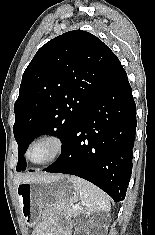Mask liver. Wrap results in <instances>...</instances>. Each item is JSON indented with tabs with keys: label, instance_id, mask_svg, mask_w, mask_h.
I'll use <instances>...</instances> for the list:
<instances>
[{
	"label": "liver",
	"instance_id": "6515ba94",
	"mask_svg": "<svg viewBox=\"0 0 155 235\" xmlns=\"http://www.w3.org/2000/svg\"><path fill=\"white\" fill-rule=\"evenodd\" d=\"M55 176H49L45 174H19L15 177L14 179V185L17 188V186L20 183H28V182H36V181H41V180H46L49 178H53Z\"/></svg>",
	"mask_w": 155,
	"mask_h": 235
}]
</instances>
